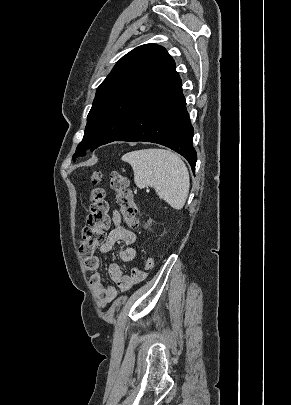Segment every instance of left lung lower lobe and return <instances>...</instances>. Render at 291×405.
Instances as JSON below:
<instances>
[{
    "mask_svg": "<svg viewBox=\"0 0 291 405\" xmlns=\"http://www.w3.org/2000/svg\"><path fill=\"white\" fill-rule=\"evenodd\" d=\"M192 138L182 81L173 63L143 97L130 125L115 141L164 145L182 155L194 172L197 154Z\"/></svg>",
    "mask_w": 291,
    "mask_h": 405,
    "instance_id": "0a47b994",
    "label": "left lung lower lobe"
}]
</instances>
